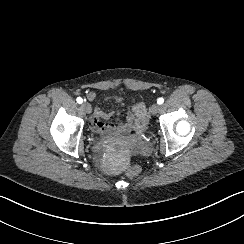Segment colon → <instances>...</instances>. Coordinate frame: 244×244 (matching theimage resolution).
<instances>
[{
  "instance_id": "1",
  "label": "colon",
  "mask_w": 244,
  "mask_h": 244,
  "mask_svg": "<svg viewBox=\"0 0 244 244\" xmlns=\"http://www.w3.org/2000/svg\"><path fill=\"white\" fill-rule=\"evenodd\" d=\"M132 109L137 117L134 128H135V130L142 132V131H144V129L147 125V120H148V113L145 108V105L141 102H136L133 105ZM140 173H141V169L137 165L129 167L126 170V175L129 178H137L140 175Z\"/></svg>"
}]
</instances>
